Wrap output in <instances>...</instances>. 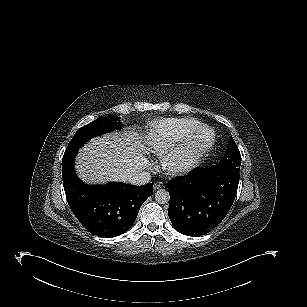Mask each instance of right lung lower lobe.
<instances>
[{
    "mask_svg": "<svg viewBox=\"0 0 307 307\" xmlns=\"http://www.w3.org/2000/svg\"><path fill=\"white\" fill-rule=\"evenodd\" d=\"M78 150L64 153L63 186L68 204L79 222L91 233L112 238L128 231L139 209L152 193V183L86 185L77 177L73 161Z\"/></svg>",
    "mask_w": 307,
    "mask_h": 307,
    "instance_id": "1",
    "label": "right lung lower lobe"
}]
</instances>
